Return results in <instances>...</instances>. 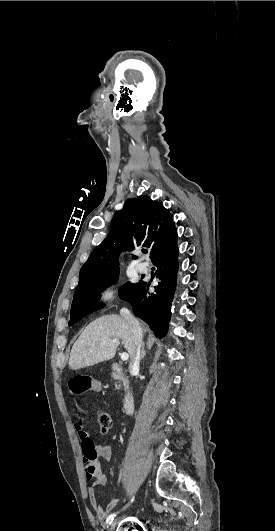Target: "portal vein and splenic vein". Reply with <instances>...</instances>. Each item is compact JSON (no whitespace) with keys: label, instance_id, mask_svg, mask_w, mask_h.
Wrapping results in <instances>:
<instances>
[{"label":"portal vein and splenic vein","instance_id":"portal-vein-and-splenic-vein-1","mask_svg":"<svg viewBox=\"0 0 275 531\" xmlns=\"http://www.w3.org/2000/svg\"><path fill=\"white\" fill-rule=\"evenodd\" d=\"M113 343H116V339H113ZM121 359H122V361H128V359H129L128 353H122Z\"/></svg>","mask_w":275,"mask_h":531}]
</instances>
